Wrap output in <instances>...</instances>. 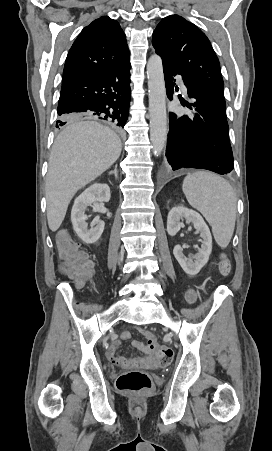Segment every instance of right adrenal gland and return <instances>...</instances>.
I'll list each match as a JSON object with an SVG mask.
<instances>
[{"label": "right adrenal gland", "mask_w": 272, "mask_h": 451, "mask_svg": "<svg viewBox=\"0 0 272 451\" xmlns=\"http://www.w3.org/2000/svg\"><path fill=\"white\" fill-rule=\"evenodd\" d=\"M111 174H114L115 178H118L117 166H116L115 170H112V172H109V176H111Z\"/></svg>", "instance_id": "1"}]
</instances>
